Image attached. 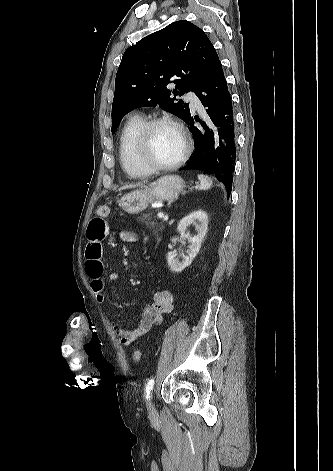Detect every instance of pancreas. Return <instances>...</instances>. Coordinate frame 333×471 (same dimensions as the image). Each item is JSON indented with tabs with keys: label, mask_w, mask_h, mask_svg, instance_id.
<instances>
[{
	"label": "pancreas",
	"mask_w": 333,
	"mask_h": 471,
	"mask_svg": "<svg viewBox=\"0 0 333 471\" xmlns=\"http://www.w3.org/2000/svg\"><path fill=\"white\" fill-rule=\"evenodd\" d=\"M152 212L148 214H143L140 218L145 225L152 230L154 233H158L159 231L163 230L164 226L162 223H158L155 217H152Z\"/></svg>",
	"instance_id": "cf45deb5"
}]
</instances>
